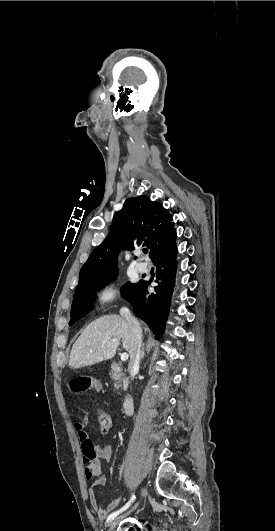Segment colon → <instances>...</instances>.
I'll list each match as a JSON object with an SVG mask.
<instances>
[{"mask_svg":"<svg viewBox=\"0 0 275 531\" xmlns=\"http://www.w3.org/2000/svg\"><path fill=\"white\" fill-rule=\"evenodd\" d=\"M97 420L102 432H107L112 426V420L110 415L103 410L97 412Z\"/></svg>","mask_w":275,"mask_h":531,"instance_id":"colon-1","label":"colon"}]
</instances>
